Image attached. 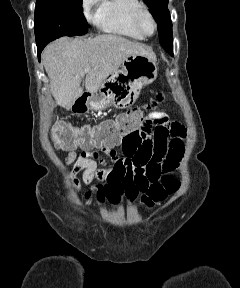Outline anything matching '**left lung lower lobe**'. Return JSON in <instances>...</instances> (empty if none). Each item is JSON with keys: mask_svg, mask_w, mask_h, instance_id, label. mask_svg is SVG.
I'll return each mask as SVG.
<instances>
[{"mask_svg": "<svg viewBox=\"0 0 240 288\" xmlns=\"http://www.w3.org/2000/svg\"><path fill=\"white\" fill-rule=\"evenodd\" d=\"M171 56H173V53H169Z\"/></svg>", "mask_w": 240, "mask_h": 288, "instance_id": "1", "label": "left lung lower lobe"}]
</instances>
